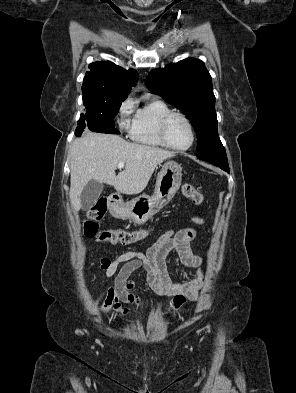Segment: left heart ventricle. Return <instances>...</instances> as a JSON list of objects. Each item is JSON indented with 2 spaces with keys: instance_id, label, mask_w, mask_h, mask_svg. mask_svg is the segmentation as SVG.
Instances as JSON below:
<instances>
[{
  "instance_id": "left-heart-ventricle-1",
  "label": "left heart ventricle",
  "mask_w": 296,
  "mask_h": 393,
  "mask_svg": "<svg viewBox=\"0 0 296 393\" xmlns=\"http://www.w3.org/2000/svg\"><path fill=\"white\" fill-rule=\"evenodd\" d=\"M169 141L177 147H185L191 141V133L187 123L179 118H173L167 131Z\"/></svg>"
}]
</instances>
